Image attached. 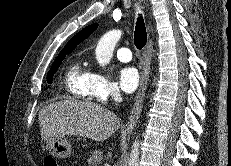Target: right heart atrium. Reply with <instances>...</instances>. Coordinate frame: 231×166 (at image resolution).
<instances>
[{"label": "right heart atrium", "instance_id": "d8ad5b80", "mask_svg": "<svg viewBox=\"0 0 231 166\" xmlns=\"http://www.w3.org/2000/svg\"><path fill=\"white\" fill-rule=\"evenodd\" d=\"M89 96L97 101L104 102L108 98H119L120 93L110 79L99 70L90 72Z\"/></svg>", "mask_w": 231, "mask_h": 166}]
</instances>
